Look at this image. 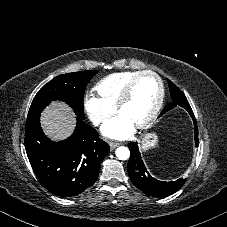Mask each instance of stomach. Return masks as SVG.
<instances>
[{"instance_id":"stomach-1","label":"stomach","mask_w":227,"mask_h":227,"mask_svg":"<svg viewBox=\"0 0 227 227\" xmlns=\"http://www.w3.org/2000/svg\"><path fill=\"white\" fill-rule=\"evenodd\" d=\"M158 144V136L155 133H148L141 141L142 151L154 148Z\"/></svg>"}]
</instances>
